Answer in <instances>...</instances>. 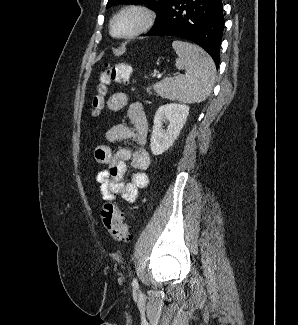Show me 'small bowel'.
<instances>
[{"label": "small bowel", "instance_id": "c3829d8e", "mask_svg": "<svg viewBox=\"0 0 298 325\" xmlns=\"http://www.w3.org/2000/svg\"><path fill=\"white\" fill-rule=\"evenodd\" d=\"M129 104L128 96L118 92L110 96L107 107L111 112H118ZM128 118L132 124L111 126L105 134L110 143L122 142L129 146L113 151L109 145H99L95 149V160L104 166L96 176L97 190L103 200L114 201L117 197L129 203H134L140 189L148 185L149 179L145 170L150 165V156L146 150L148 122L141 104L128 106ZM127 165L132 168L130 180L124 176Z\"/></svg>", "mask_w": 298, "mask_h": 325}]
</instances>
